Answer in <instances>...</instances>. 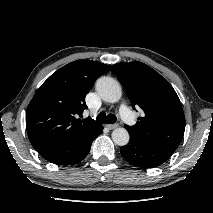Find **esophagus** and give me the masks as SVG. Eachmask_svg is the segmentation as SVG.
<instances>
[{"label": "esophagus", "mask_w": 213, "mask_h": 213, "mask_svg": "<svg viewBox=\"0 0 213 213\" xmlns=\"http://www.w3.org/2000/svg\"><path fill=\"white\" fill-rule=\"evenodd\" d=\"M106 127L110 130L115 129L118 127V124H107Z\"/></svg>", "instance_id": "1"}]
</instances>
